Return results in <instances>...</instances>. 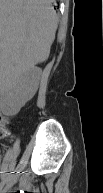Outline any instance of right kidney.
<instances>
[{"instance_id":"right-kidney-1","label":"right kidney","mask_w":103,"mask_h":193,"mask_svg":"<svg viewBox=\"0 0 103 193\" xmlns=\"http://www.w3.org/2000/svg\"><path fill=\"white\" fill-rule=\"evenodd\" d=\"M42 70L33 67L23 74L1 82L0 109L6 116L16 115L35 95Z\"/></svg>"}]
</instances>
